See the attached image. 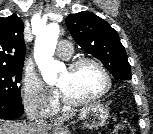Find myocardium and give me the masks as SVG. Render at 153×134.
Here are the masks:
<instances>
[{"label": "myocardium", "mask_w": 153, "mask_h": 134, "mask_svg": "<svg viewBox=\"0 0 153 134\" xmlns=\"http://www.w3.org/2000/svg\"><path fill=\"white\" fill-rule=\"evenodd\" d=\"M87 63L95 65L101 71L105 79L104 88L97 94L92 95L90 97L74 98V97L69 96L62 88L58 87L60 97L65 104L70 105V106L84 105V104H87V103H90V102H93V101H96L102 98L104 95H106L110 91L112 87L111 74L106 68V66L98 59L93 58V57H81V58L75 59L72 62H70L67 68L70 71H73L77 69L78 67H80L81 65L87 64Z\"/></svg>", "instance_id": "obj_1"}]
</instances>
